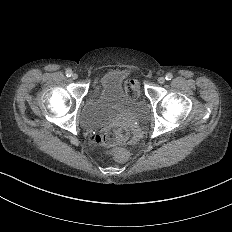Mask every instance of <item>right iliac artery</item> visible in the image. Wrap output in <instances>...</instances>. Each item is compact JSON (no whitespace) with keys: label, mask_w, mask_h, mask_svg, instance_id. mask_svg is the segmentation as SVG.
Masks as SVG:
<instances>
[{"label":"right iliac artery","mask_w":232,"mask_h":232,"mask_svg":"<svg viewBox=\"0 0 232 232\" xmlns=\"http://www.w3.org/2000/svg\"><path fill=\"white\" fill-rule=\"evenodd\" d=\"M65 73H66L67 77H71V75H72V71L71 70H67Z\"/></svg>","instance_id":"obj_1"}]
</instances>
